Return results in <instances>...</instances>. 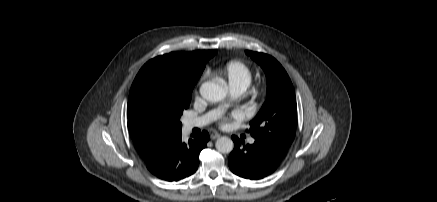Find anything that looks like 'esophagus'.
I'll return each mask as SVG.
<instances>
[{
  "instance_id": "1",
  "label": "esophagus",
  "mask_w": 437,
  "mask_h": 202,
  "mask_svg": "<svg viewBox=\"0 0 437 202\" xmlns=\"http://www.w3.org/2000/svg\"><path fill=\"white\" fill-rule=\"evenodd\" d=\"M210 138H211L212 140L218 139V138H220V134H218V133H216V132L211 133V134H210Z\"/></svg>"
}]
</instances>
